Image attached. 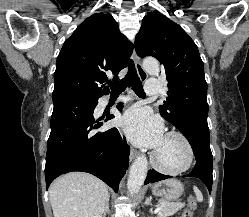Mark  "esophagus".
Instances as JSON below:
<instances>
[{
    "instance_id": "1",
    "label": "esophagus",
    "mask_w": 249,
    "mask_h": 217,
    "mask_svg": "<svg viewBox=\"0 0 249 217\" xmlns=\"http://www.w3.org/2000/svg\"><path fill=\"white\" fill-rule=\"evenodd\" d=\"M132 58L134 60L135 67H136V70H137V73H138L140 79L142 81H145L148 76H147V73L144 70V68L140 62L139 57L137 56L135 49L133 50ZM137 154H138V152L135 149L130 148V156H129L130 160H133L137 156Z\"/></svg>"
}]
</instances>
